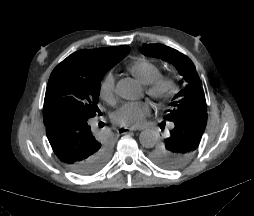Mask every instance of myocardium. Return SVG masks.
<instances>
[{
	"label": "myocardium",
	"mask_w": 254,
	"mask_h": 216,
	"mask_svg": "<svg viewBox=\"0 0 254 216\" xmlns=\"http://www.w3.org/2000/svg\"><path fill=\"white\" fill-rule=\"evenodd\" d=\"M162 80H163L164 87L162 88L160 87V89L156 90V96L158 98H163L165 96L166 88L170 85L169 77H164Z\"/></svg>",
	"instance_id": "obj_1"
}]
</instances>
